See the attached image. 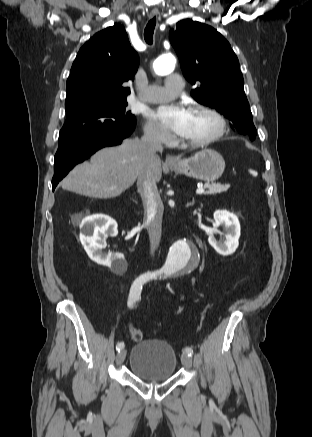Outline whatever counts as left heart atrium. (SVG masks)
<instances>
[{"mask_svg":"<svg viewBox=\"0 0 312 437\" xmlns=\"http://www.w3.org/2000/svg\"><path fill=\"white\" fill-rule=\"evenodd\" d=\"M192 112L180 105H163L154 113V118L166 129L183 136L189 126Z\"/></svg>","mask_w":312,"mask_h":437,"instance_id":"obj_1","label":"left heart atrium"}]
</instances>
